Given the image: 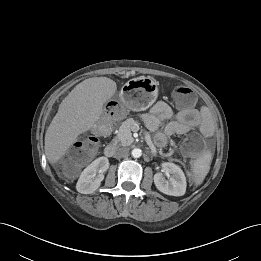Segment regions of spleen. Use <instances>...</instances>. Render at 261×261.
<instances>
[{"label":"spleen","instance_id":"3e777b00","mask_svg":"<svg viewBox=\"0 0 261 261\" xmlns=\"http://www.w3.org/2000/svg\"><path fill=\"white\" fill-rule=\"evenodd\" d=\"M212 154L210 151H204L193 164V180L199 185L203 182L210 170Z\"/></svg>","mask_w":261,"mask_h":261}]
</instances>
